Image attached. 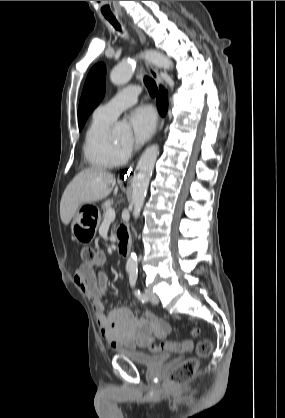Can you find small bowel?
<instances>
[{
    "instance_id": "small-bowel-1",
    "label": "small bowel",
    "mask_w": 285,
    "mask_h": 418,
    "mask_svg": "<svg viewBox=\"0 0 285 418\" xmlns=\"http://www.w3.org/2000/svg\"><path fill=\"white\" fill-rule=\"evenodd\" d=\"M106 256L98 252L92 263H83L76 270L73 280L89 298L101 335L114 348H134L136 342H144L151 337L162 339L171 332V326L147 311L137 316L131 309L115 307L105 310L103 296L109 288L104 266ZM190 341V349L193 350Z\"/></svg>"
}]
</instances>
